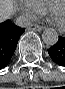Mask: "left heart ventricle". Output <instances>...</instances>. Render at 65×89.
I'll return each mask as SVG.
<instances>
[{
    "label": "left heart ventricle",
    "mask_w": 65,
    "mask_h": 89,
    "mask_svg": "<svg viewBox=\"0 0 65 89\" xmlns=\"http://www.w3.org/2000/svg\"><path fill=\"white\" fill-rule=\"evenodd\" d=\"M55 17L60 23H63L65 18V10L62 7H59L56 10Z\"/></svg>",
    "instance_id": "obj_1"
}]
</instances>
